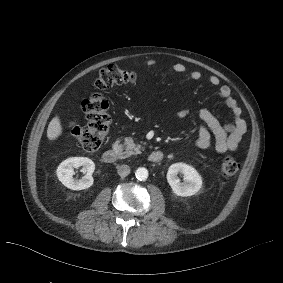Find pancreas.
<instances>
[{
  "label": "pancreas",
  "instance_id": "obj_1",
  "mask_svg": "<svg viewBox=\"0 0 283 283\" xmlns=\"http://www.w3.org/2000/svg\"><path fill=\"white\" fill-rule=\"evenodd\" d=\"M125 145H126V151L129 152L131 155L133 154H139L141 153L140 150L143 148L140 145H136L133 142L132 138H125Z\"/></svg>",
  "mask_w": 283,
  "mask_h": 283
}]
</instances>
